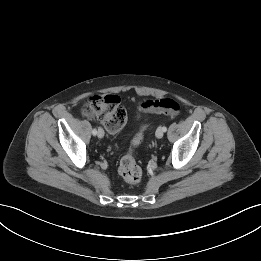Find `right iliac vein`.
I'll use <instances>...</instances> for the list:
<instances>
[{"instance_id": "right-iliac-vein-1", "label": "right iliac vein", "mask_w": 261, "mask_h": 261, "mask_svg": "<svg viewBox=\"0 0 261 261\" xmlns=\"http://www.w3.org/2000/svg\"><path fill=\"white\" fill-rule=\"evenodd\" d=\"M97 136H98L99 138H103V137H104V130H103L102 128H99V129H98Z\"/></svg>"}]
</instances>
